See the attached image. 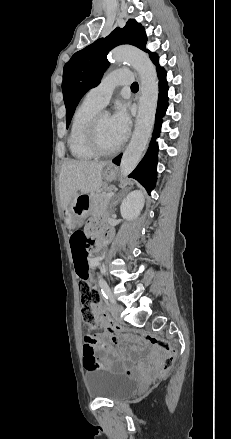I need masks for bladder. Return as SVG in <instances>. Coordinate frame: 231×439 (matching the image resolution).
<instances>
[{
  "label": "bladder",
  "mask_w": 231,
  "mask_h": 439,
  "mask_svg": "<svg viewBox=\"0 0 231 439\" xmlns=\"http://www.w3.org/2000/svg\"><path fill=\"white\" fill-rule=\"evenodd\" d=\"M84 378L89 396L98 399L122 400L140 387L138 379L112 368L87 369Z\"/></svg>",
  "instance_id": "31cf9c89"
}]
</instances>
